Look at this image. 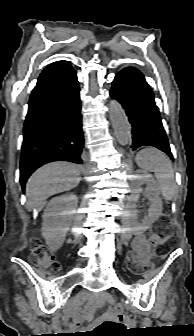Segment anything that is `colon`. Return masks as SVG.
Returning a JSON list of instances; mask_svg holds the SVG:
<instances>
[{"label":"colon","mask_w":194,"mask_h":336,"mask_svg":"<svg viewBox=\"0 0 194 336\" xmlns=\"http://www.w3.org/2000/svg\"><path fill=\"white\" fill-rule=\"evenodd\" d=\"M173 233L174 228L166 219L162 218L156 223L150 235V244L155 253H161L170 248ZM30 259L46 273L53 274L60 270V264L54 255L38 240L31 242ZM127 263L131 269H138L137 259L134 255H129ZM113 311V318L96 327L94 331L90 332V336H117L125 330L123 305L115 304Z\"/></svg>","instance_id":"5ec220e1"}]
</instances>
